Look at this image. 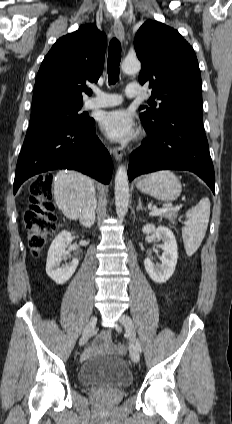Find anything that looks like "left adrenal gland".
Segmentation results:
<instances>
[{
    "label": "left adrenal gland",
    "instance_id": "a2214340",
    "mask_svg": "<svg viewBox=\"0 0 232 424\" xmlns=\"http://www.w3.org/2000/svg\"><path fill=\"white\" fill-rule=\"evenodd\" d=\"M140 210H146V209L142 206L141 198L139 197V199H138V206L136 208V211L138 212Z\"/></svg>",
    "mask_w": 232,
    "mask_h": 424
}]
</instances>
